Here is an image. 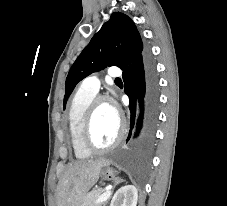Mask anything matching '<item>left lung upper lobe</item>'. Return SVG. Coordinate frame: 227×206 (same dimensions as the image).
Listing matches in <instances>:
<instances>
[{
    "label": "left lung upper lobe",
    "instance_id": "5c2ea615",
    "mask_svg": "<svg viewBox=\"0 0 227 206\" xmlns=\"http://www.w3.org/2000/svg\"><path fill=\"white\" fill-rule=\"evenodd\" d=\"M145 51L131 18L120 12L113 13L72 65L66 78L64 108L70 94L82 79L107 66L115 65L125 71Z\"/></svg>",
    "mask_w": 227,
    "mask_h": 206
}]
</instances>
